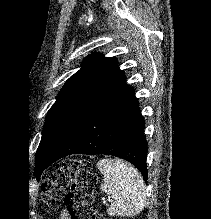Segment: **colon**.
<instances>
[{
  "label": "colon",
  "instance_id": "1",
  "mask_svg": "<svg viewBox=\"0 0 211 219\" xmlns=\"http://www.w3.org/2000/svg\"><path fill=\"white\" fill-rule=\"evenodd\" d=\"M96 184L89 162L68 159L58 164L44 183L43 199L50 209L58 208L64 199L71 219H104L94 206Z\"/></svg>",
  "mask_w": 211,
  "mask_h": 219
}]
</instances>
